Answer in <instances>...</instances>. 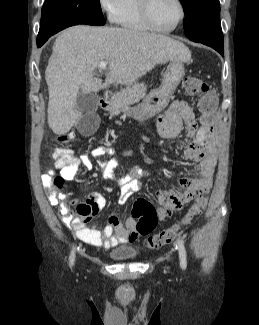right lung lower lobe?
<instances>
[{
	"label": "right lung lower lobe",
	"mask_w": 259,
	"mask_h": 325,
	"mask_svg": "<svg viewBox=\"0 0 259 325\" xmlns=\"http://www.w3.org/2000/svg\"><path fill=\"white\" fill-rule=\"evenodd\" d=\"M48 39H49V37L48 38H45L43 40H38L37 41V47L38 48L41 47Z\"/></svg>",
	"instance_id": "98d812e1"
}]
</instances>
